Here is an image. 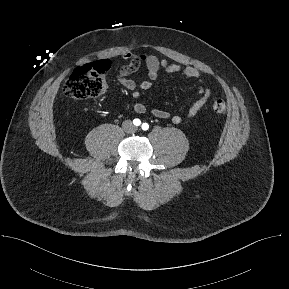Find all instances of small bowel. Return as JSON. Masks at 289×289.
Listing matches in <instances>:
<instances>
[{"mask_svg": "<svg viewBox=\"0 0 289 289\" xmlns=\"http://www.w3.org/2000/svg\"><path fill=\"white\" fill-rule=\"evenodd\" d=\"M121 58L126 61L117 72L116 79L123 87L128 89L133 97H139L141 91H148L152 89L153 83L157 80L159 71L162 69L167 73H180L186 78L195 79L197 81L198 98L189 107L186 117H195L204 107L211 96V89L205 83L198 69L191 66H181L175 63H169L166 59H160L156 55L146 54L142 52L126 51L122 53ZM142 65H144L148 72V79L141 82H136L129 78L131 74L136 72ZM137 114H144L147 111L145 104L137 102L133 106ZM152 114L159 119H169L174 124H180L183 121L182 114H170L168 111L161 108H153Z\"/></svg>", "mask_w": 289, "mask_h": 289, "instance_id": "c3829d8e", "label": "small bowel"}]
</instances>
